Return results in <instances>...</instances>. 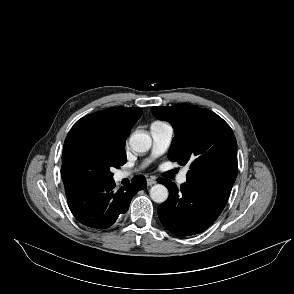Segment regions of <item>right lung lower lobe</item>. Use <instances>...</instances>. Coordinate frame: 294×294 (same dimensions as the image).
Masks as SVG:
<instances>
[{
	"instance_id": "obj_1",
	"label": "right lung lower lobe",
	"mask_w": 294,
	"mask_h": 294,
	"mask_svg": "<svg viewBox=\"0 0 294 294\" xmlns=\"http://www.w3.org/2000/svg\"><path fill=\"white\" fill-rule=\"evenodd\" d=\"M113 179L80 187H65L68 206L75 218L88 227L105 229L125 213L133 196L146 187L142 175L135 176L130 185L115 191Z\"/></svg>"
}]
</instances>
